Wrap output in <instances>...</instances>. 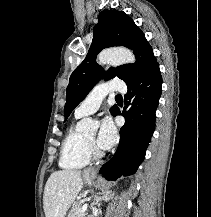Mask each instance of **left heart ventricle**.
<instances>
[{
	"instance_id": "obj_1",
	"label": "left heart ventricle",
	"mask_w": 211,
	"mask_h": 217,
	"mask_svg": "<svg viewBox=\"0 0 211 217\" xmlns=\"http://www.w3.org/2000/svg\"><path fill=\"white\" fill-rule=\"evenodd\" d=\"M87 138H88L89 140H91V141L94 142V140H95V134L93 133V134H91V135H88Z\"/></svg>"
}]
</instances>
